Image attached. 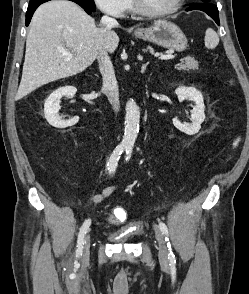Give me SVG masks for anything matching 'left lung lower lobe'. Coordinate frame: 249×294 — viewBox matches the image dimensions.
Here are the masks:
<instances>
[{
    "mask_svg": "<svg viewBox=\"0 0 249 294\" xmlns=\"http://www.w3.org/2000/svg\"><path fill=\"white\" fill-rule=\"evenodd\" d=\"M190 10H201L207 13L210 17L214 19V21L220 25L219 22V12L218 9L215 5L210 4V3H198V4H193L190 6L186 11Z\"/></svg>",
    "mask_w": 249,
    "mask_h": 294,
    "instance_id": "left-lung-lower-lobe-1",
    "label": "left lung lower lobe"
}]
</instances>
